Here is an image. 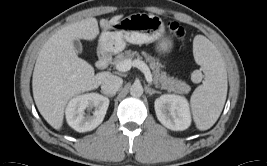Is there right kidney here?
Listing matches in <instances>:
<instances>
[{
    "label": "right kidney",
    "mask_w": 267,
    "mask_h": 166,
    "mask_svg": "<svg viewBox=\"0 0 267 166\" xmlns=\"http://www.w3.org/2000/svg\"><path fill=\"white\" fill-rule=\"evenodd\" d=\"M109 99L97 93L79 95L70 100L66 108L67 123L78 132H87L98 127L106 114ZM95 107L92 116H85V110Z\"/></svg>",
    "instance_id": "obj_1"
}]
</instances>
